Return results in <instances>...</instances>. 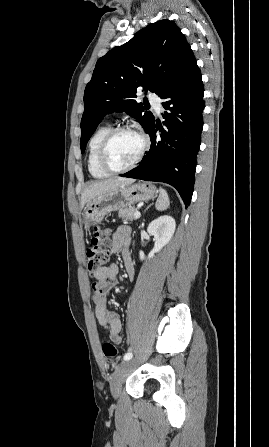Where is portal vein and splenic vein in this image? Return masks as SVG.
Segmentation results:
<instances>
[{"label": "portal vein and splenic vein", "mask_w": 269, "mask_h": 447, "mask_svg": "<svg viewBox=\"0 0 269 447\" xmlns=\"http://www.w3.org/2000/svg\"><path fill=\"white\" fill-rule=\"evenodd\" d=\"M134 216H135L136 220H138V218H140L141 214H140V212H135Z\"/></svg>", "instance_id": "obj_1"}]
</instances>
